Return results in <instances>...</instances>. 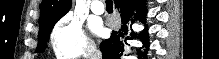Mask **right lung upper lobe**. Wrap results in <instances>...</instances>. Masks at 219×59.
Listing matches in <instances>:
<instances>
[{
    "instance_id": "cb5924a9",
    "label": "right lung upper lobe",
    "mask_w": 219,
    "mask_h": 59,
    "mask_svg": "<svg viewBox=\"0 0 219 59\" xmlns=\"http://www.w3.org/2000/svg\"><path fill=\"white\" fill-rule=\"evenodd\" d=\"M71 8V0H42L39 28L57 22Z\"/></svg>"
}]
</instances>
